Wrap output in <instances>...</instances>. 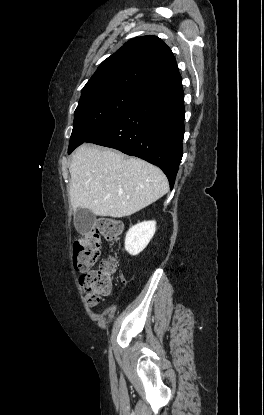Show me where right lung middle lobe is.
<instances>
[{"instance_id": "dd1d6c3e", "label": "right lung middle lobe", "mask_w": 264, "mask_h": 415, "mask_svg": "<svg viewBox=\"0 0 264 415\" xmlns=\"http://www.w3.org/2000/svg\"><path fill=\"white\" fill-rule=\"evenodd\" d=\"M142 99L138 95L120 91L81 97L74 112L68 152L86 142Z\"/></svg>"}]
</instances>
